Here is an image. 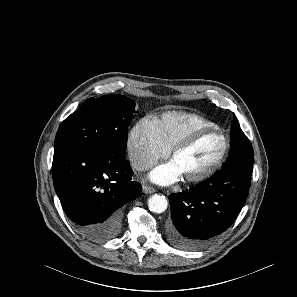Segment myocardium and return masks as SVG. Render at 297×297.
I'll list each match as a JSON object with an SVG mask.
<instances>
[{
    "instance_id": "obj_1",
    "label": "myocardium",
    "mask_w": 297,
    "mask_h": 297,
    "mask_svg": "<svg viewBox=\"0 0 297 297\" xmlns=\"http://www.w3.org/2000/svg\"><path fill=\"white\" fill-rule=\"evenodd\" d=\"M208 133H216L220 136L222 139V151L217 158V160L205 171L202 173L184 178V182L187 184H197L202 181H205L212 177L224 164L228 152H229V141L224 132L216 127H201L198 129H195L191 131L189 134H187L185 137H183L181 140H179L171 149H170V159L172 160L178 153L182 152L183 150L189 148L200 136Z\"/></svg>"
}]
</instances>
